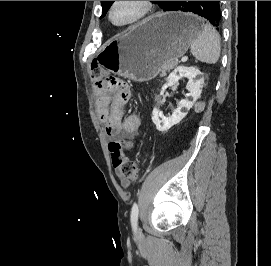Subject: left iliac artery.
I'll use <instances>...</instances> for the list:
<instances>
[{
  "mask_svg": "<svg viewBox=\"0 0 271 266\" xmlns=\"http://www.w3.org/2000/svg\"><path fill=\"white\" fill-rule=\"evenodd\" d=\"M139 209L137 203H134L131 209V225L134 231L137 230V220H138Z\"/></svg>",
  "mask_w": 271,
  "mask_h": 266,
  "instance_id": "left-iliac-artery-1",
  "label": "left iliac artery"
}]
</instances>
